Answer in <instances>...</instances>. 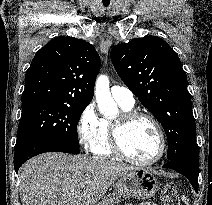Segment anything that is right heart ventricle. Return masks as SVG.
<instances>
[{"label": "right heart ventricle", "instance_id": "e07e8e85", "mask_svg": "<svg viewBox=\"0 0 212 205\" xmlns=\"http://www.w3.org/2000/svg\"><path fill=\"white\" fill-rule=\"evenodd\" d=\"M119 105L124 111L131 110L132 108L120 103ZM110 124L111 122L108 119H101L99 136L96 142L90 148L91 152L97 156L105 158H111L115 156L110 145Z\"/></svg>", "mask_w": 212, "mask_h": 205}]
</instances>
